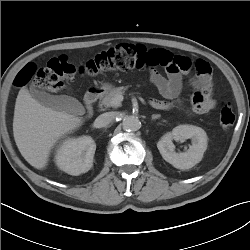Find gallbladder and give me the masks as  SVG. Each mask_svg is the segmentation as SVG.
I'll use <instances>...</instances> for the list:
<instances>
[{"label": "gallbladder", "instance_id": "1", "mask_svg": "<svg viewBox=\"0 0 250 250\" xmlns=\"http://www.w3.org/2000/svg\"><path fill=\"white\" fill-rule=\"evenodd\" d=\"M32 96L42 105L56 111L75 115L84 113L83 105L77 99L67 95L54 96L33 87Z\"/></svg>", "mask_w": 250, "mask_h": 250}]
</instances>
